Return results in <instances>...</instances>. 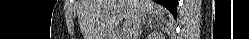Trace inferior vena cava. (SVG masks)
I'll list each match as a JSON object with an SVG mask.
<instances>
[{
	"mask_svg": "<svg viewBox=\"0 0 249 39\" xmlns=\"http://www.w3.org/2000/svg\"><path fill=\"white\" fill-rule=\"evenodd\" d=\"M142 15H137L130 29L127 30V35L129 39H136L137 33L141 26V21L143 20Z\"/></svg>",
	"mask_w": 249,
	"mask_h": 39,
	"instance_id": "1",
	"label": "inferior vena cava"
}]
</instances>
